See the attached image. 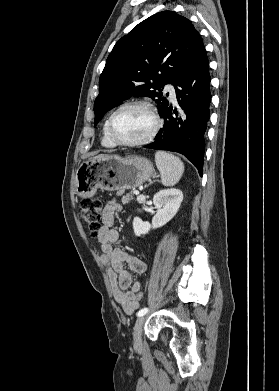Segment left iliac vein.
I'll use <instances>...</instances> for the list:
<instances>
[{"label": "left iliac vein", "instance_id": "left-iliac-vein-1", "mask_svg": "<svg viewBox=\"0 0 279 391\" xmlns=\"http://www.w3.org/2000/svg\"><path fill=\"white\" fill-rule=\"evenodd\" d=\"M145 323V316H140L137 318L134 330H133V341H134V347L135 348H141L142 346V328Z\"/></svg>", "mask_w": 279, "mask_h": 391}]
</instances>
